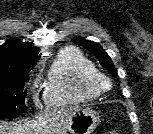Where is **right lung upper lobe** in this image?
Instances as JSON below:
<instances>
[{
  "mask_svg": "<svg viewBox=\"0 0 153 134\" xmlns=\"http://www.w3.org/2000/svg\"><path fill=\"white\" fill-rule=\"evenodd\" d=\"M40 49L12 38L0 46V74L28 73L36 65Z\"/></svg>",
  "mask_w": 153,
  "mask_h": 134,
  "instance_id": "cb5924a9",
  "label": "right lung upper lobe"
}]
</instances>
